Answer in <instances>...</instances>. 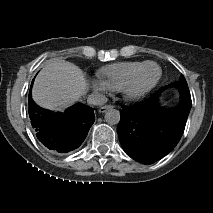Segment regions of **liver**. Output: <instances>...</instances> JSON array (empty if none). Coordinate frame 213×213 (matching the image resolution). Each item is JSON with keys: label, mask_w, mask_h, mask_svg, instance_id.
I'll return each mask as SVG.
<instances>
[{"label": "liver", "mask_w": 213, "mask_h": 213, "mask_svg": "<svg viewBox=\"0 0 213 213\" xmlns=\"http://www.w3.org/2000/svg\"><path fill=\"white\" fill-rule=\"evenodd\" d=\"M87 89L81 69L68 61H52L36 76L32 97L40 107L60 111L77 102Z\"/></svg>", "instance_id": "6515ba94"}]
</instances>
